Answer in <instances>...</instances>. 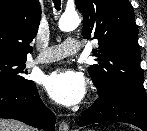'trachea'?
I'll return each instance as SVG.
<instances>
[{
    "mask_svg": "<svg viewBox=\"0 0 147 131\" xmlns=\"http://www.w3.org/2000/svg\"><path fill=\"white\" fill-rule=\"evenodd\" d=\"M56 10H60L61 0H53Z\"/></svg>",
    "mask_w": 147,
    "mask_h": 131,
    "instance_id": "trachea-1",
    "label": "trachea"
}]
</instances>
